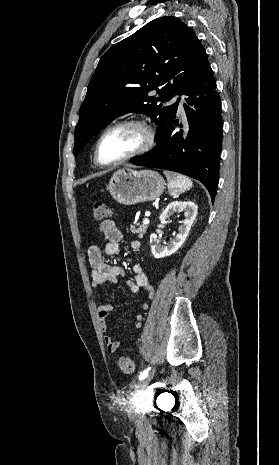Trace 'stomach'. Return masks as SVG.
I'll return each instance as SVG.
<instances>
[{"label":"stomach","mask_w":279,"mask_h":465,"mask_svg":"<svg viewBox=\"0 0 279 465\" xmlns=\"http://www.w3.org/2000/svg\"><path fill=\"white\" fill-rule=\"evenodd\" d=\"M107 189L118 203L134 205L158 198L165 189V181L152 170L123 168L112 175Z\"/></svg>","instance_id":"stomach-1"}]
</instances>
